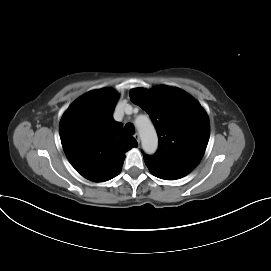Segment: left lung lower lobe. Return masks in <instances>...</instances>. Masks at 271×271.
Returning <instances> with one entry per match:
<instances>
[{
    "label": "left lung lower lobe",
    "instance_id": "1",
    "mask_svg": "<svg viewBox=\"0 0 271 271\" xmlns=\"http://www.w3.org/2000/svg\"><path fill=\"white\" fill-rule=\"evenodd\" d=\"M144 160L150 172L154 176L161 179L175 180V179L184 177L185 175L189 173L182 169L166 166V165L151 161L145 157H144Z\"/></svg>",
    "mask_w": 271,
    "mask_h": 271
}]
</instances>
